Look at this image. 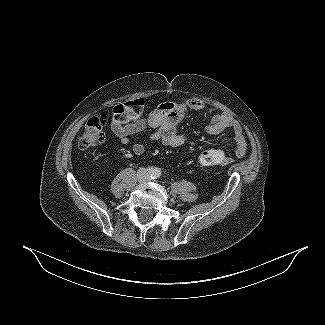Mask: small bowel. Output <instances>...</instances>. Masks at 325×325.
I'll return each instance as SVG.
<instances>
[{"instance_id":"c3829d8e","label":"small bowel","mask_w":325,"mask_h":325,"mask_svg":"<svg viewBox=\"0 0 325 325\" xmlns=\"http://www.w3.org/2000/svg\"><path fill=\"white\" fill-rule=\"evenodd\" d=\"M206 108L203 101L199 99H188L181 102H164L158 105L146 118L132 121L127 124L111 123V130L124 145L133 140V136L141 133L146 128L153 129L150 134L152 141L161 142L170 147H180L187 142V138L180 134L177 126L184 114L189 110L201 111ZM231 129L235 136V155L244 157L247 151V144L242 135V128L230 115L220 113L211 116L206 130L209 134H219ZM131 151L134 155H142L145 146L141 143H134Z\"/></svg>"}]
</instances>
